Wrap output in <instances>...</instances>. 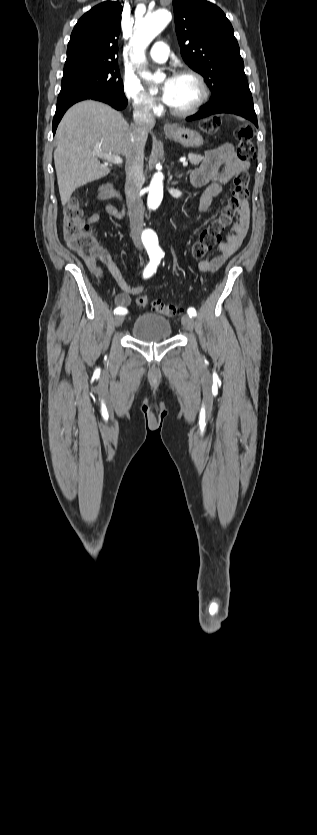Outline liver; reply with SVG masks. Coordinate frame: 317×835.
Returning <instances> with one entry per match:
<instances>
[{
  "label": "liver",
  "instance_id": "liver-1",
  "mask_svg": "<svg viewBox=\"0 0 317 835\" xmlns=\"http://www.w3.org/2000/svg\"><path fill=\"white\" fill-rule=\"evenodd\" d=\"M131 127L122 114L110 106L93 101L73 105L63 116L56 131L54 163L62 205L74 190L110 173L98 160L99 155H127Z\"/></svg>",
  "mask_w": 317,
  "mask_h": 835
}]
</instances>
